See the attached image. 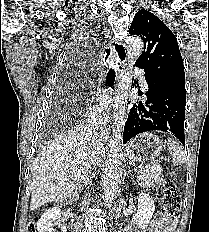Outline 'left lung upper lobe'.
Returning <instances> with one entry per match:
<instances>
[{"label":"left lung upper lobe","instance_id":"left-lung-upper-lobe-1","mask_svg":"<svg viewBox=\"0 0 209 232\" xmlns=\"http://www.w3.org/2000/svg\"><path fill=\"white\" fill-rule=\"evenodd\" d=\"M129 33L144 41V51L136 64L145 75L157 85L185 91L183 60L172 31L156 15L141 9L134 16Z\"/></svg>","mask_w":209,"mask_h":232}]
</instances>
